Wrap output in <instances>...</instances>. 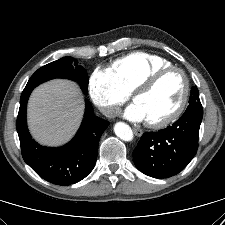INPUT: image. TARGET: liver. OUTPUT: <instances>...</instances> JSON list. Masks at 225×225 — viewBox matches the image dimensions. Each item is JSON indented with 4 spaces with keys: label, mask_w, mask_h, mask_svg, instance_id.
Instances as JSON below:
<instances>
[{
    "label": "liver",
    "mask_w": 225,
    "mask_h": 225,
    "mask_svg": "<svg viewBox=\"0 0 225 225\" xmlns=\"http://www.w3.org/2000/svg\"><path fill=\"white\" fill-rule=\"evenodd\" d=\"M84 111L80 88L72 81L55 79L32 92L28 102V125L41 144L61 145L78 129Z\"/></svg>",
    "instance_id": "liver-1"
}]
</instances>
